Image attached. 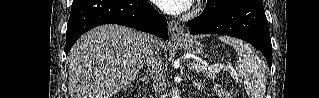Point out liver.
Instances as JSON below:
<instances>
[{"instance_id":"obj_1","label":"liver","mask_w":319,"mask_h":98,"mask_svg":"<svg viewBox=\"0 0 319 98\" xmlns=\"http://www.w3.org/2000/svg\"><path fill=\"white\" fill-rule=\"evenodd\" d=\"M149 42L148 34L114 24L81 36L68 54L70 98H112L139 75Z\"/></svg>"}]
</instances>
